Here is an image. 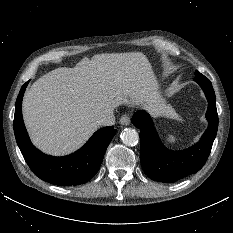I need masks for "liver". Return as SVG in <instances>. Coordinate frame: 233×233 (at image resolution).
<instances>
[{
  "instance_id": "1",
  "label": "liver",
  "mask_w": 233,
  "mask_h": 233,
  "mask_svg": "<svg viewBox=\"0 0 233 233\" xmlns=\"http://www.w3.org/2000/svg\"><path fill=\"white\" fill-rule=\"evenodd\" d=\"M122 104L143 106L156 114L169 111L143 53L96 54L74 68L52 70L25 93L22 109L35 146L51 155H65L91 137L101 115Z\"/></svg>"
}]
</instances>
